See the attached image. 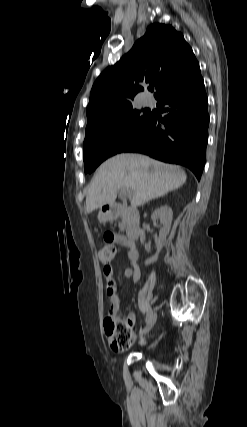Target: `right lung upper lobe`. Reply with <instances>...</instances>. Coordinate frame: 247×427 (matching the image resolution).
<instances>
[{
  "mask_svg": "<svg viewBox=\"0 0 247 427\" xmlns=\"http://www.w3.org/2000/svg\"><path fill=\"white\" fill-rule=\"evenodd\" d=\"M199 69L191 47L172 26L148 27L132 49L95 81L87 107V128L114 119L132 107L135 95L155 87L158 100L179 81Z\"/></svg>",
  "mask_w": 247,
  "mask_h": 427,
  "instance_id": "right-lung-upper-lobe-1",
  "label": "right lung upper lobe"
}]
</instances>
